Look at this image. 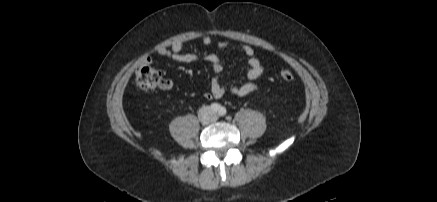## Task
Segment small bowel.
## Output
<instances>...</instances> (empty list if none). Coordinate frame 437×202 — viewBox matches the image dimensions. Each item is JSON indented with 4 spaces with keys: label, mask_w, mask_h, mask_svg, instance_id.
Returning a JSON list of instances; mask_svg holds the SVG:
<instances>
[{
    "label": "small bowel",
    "mask_w": 437,
    "mask_h": 202,
    "mask_svg": "<svg viewBox=\"0 0 437 202\" xmlns=\"http://www.w3.org/2000/svg\"><path fill=\"white\" fill-rule=\"evenodd\" d=\"M212 38L210 36H204L201 40L202 45L209 46L212 43ZM235 39H227L218 41V48L220 50H226L230 48ZM184 42L176 41L171 46H160L157 48L156 52L161 55L172 59L179 63H192L200 59L209 62L216 75L211 80L210 90L204 94L206 99H218L223 97L227 92L235 96H245L257 89L255 81L263 74L264 66L261 59L256 55L255 49L252 45L242 44L241 49L248 57V69L246 73L247 80L240 81L231 87L227 88L221 83V73L224 70L223 60L215 53H207L204 55H199L196 53H184L183 50ZM150 60V59H148ZM173 83L170 79H164V83L161 86L162 89H170Z\"/></svg>",
    "instance_id": "c3829d8e"
}]
</instances>
